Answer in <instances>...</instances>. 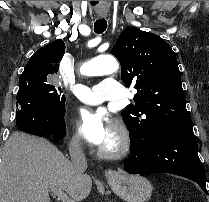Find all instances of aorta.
<instances>
[{"mask_svg": "<svg viewBox=\"0 0 209 202\" xmlns=\"http://www.w3.org/2000/svg\"><path fill=\"white\" fill-rule=\"evenodd\" d=\"M118 69L119 64L113 56L102 55L85 63L81 68V73L85 76H102L113 74Z\"/></svg>", "mask_w": 209, "mask_h": 202, "instance_id": "aorta-1", "label": "aorta"}]
</instances>
